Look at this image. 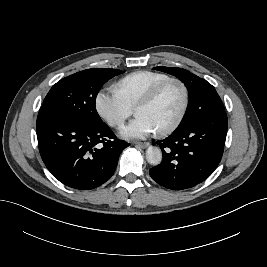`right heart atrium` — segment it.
<instances>
[{"instance_id": "right-heart-atrium-1", "label": "right heart atrium", "mask_w": 267, "mask_h": 267, "mask_svg": "<svg viewBox=\"0 0 267 267\" xmlns=\"http://www.w3.org/2000/svg\"><path fill=\"white\" fill-rule=\"evenodd\" d=\"M95 108L113 128H120L133 113V108L116 91H100L95 97Z\"/></svg>"}]
</instances>
